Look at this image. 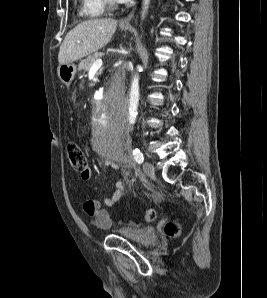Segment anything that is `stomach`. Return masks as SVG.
Listing matches in <instances>:
<instances>
[{"instance_id":"1","label":"stomach","mask_w":267,"mask_h":298,"mask_svg":"<svg viewBox=\"0 0 267 298\" xmlns=\"http://www.w3.org/2000/svg\"><path fill=\"white\" fill-rule=\"evenodd\" d=\"M120 28L123 31H126L128 29V27H120ZM57 73L62 83L66 85H70L76 74V65L73 62L60 64L57 68Z\"/></svg>"}]
</instances>
